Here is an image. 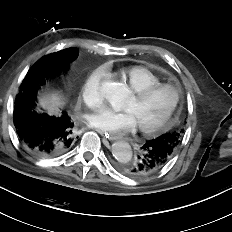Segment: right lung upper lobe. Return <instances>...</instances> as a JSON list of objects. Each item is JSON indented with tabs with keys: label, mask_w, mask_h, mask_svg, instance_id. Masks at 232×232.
I'll list each match as a JSON object with an SVG mask.
<instances>
[{
	"label": "right lung upper lobe",
	"mask_w": 232,
	"mask_h": 232,
	"mask_svg": "<svg viewBox=\"0 0 232 232\" xmlns=\"http://www.w3.org/2000/svg\"><path fill=\"white\" fill-rule=\"evenodd\" d=\"M69 49L76 51V53H77V55H78V50H77V48H69Z\"/></svg>",
	"instance_id": "right-lung-upper-lobe-1"
}]
</instances>
